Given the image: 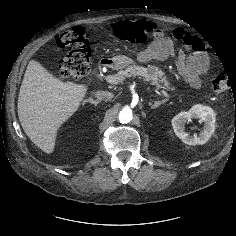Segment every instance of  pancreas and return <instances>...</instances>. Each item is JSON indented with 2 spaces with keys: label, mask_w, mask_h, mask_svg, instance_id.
Masks as SVG:
<instances>
[{
  "label": "pancreas",
  "mask_w": 236,
  "mask_h": 236,
  "mask_svg": "<svg viewBox=\"0 0 236 236\" xmlns=\"http://www.w3.org/2000/svg\"><path fill=\"white\" fill-rule=\"evenodd\" d=\"M122 80L125 78L139 76L143 78L144 81H150L151 84L157 86H164L166 90L174 91L175 87L171 86L168 78L165 76V73L162 70H159L158 67L153 65H148L147 67L142 66H129L124 71H120L117 74Z\"/></svg>",
  "instance_id": "1"
}]
</instances>
